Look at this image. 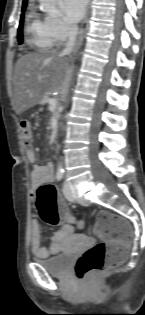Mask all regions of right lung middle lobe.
<instances>
[{"label":"right lung middle lobe","mask_w":145,"mask_h":315,"mask_svg":"<svg viewBox=\"0 0 145 315\" xmlns=\"http://www.w3.org/2000/svg\"><path fill=\"white\" fill-rule=\"evenodd\" d=\"M26 6L22 7V12L25 11ZM23 21H24V15H21L20 18V24H19V28H18V41L21 44L22 40H23V34H22V28H23Z\"/></svg>","instance_id":"obj_1"}]
</instances>
